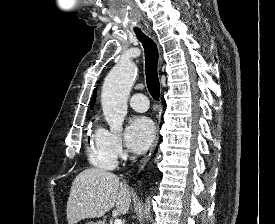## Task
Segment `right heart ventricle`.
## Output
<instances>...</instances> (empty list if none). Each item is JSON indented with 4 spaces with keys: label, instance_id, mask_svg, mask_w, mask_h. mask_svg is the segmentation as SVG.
I'll return each mask as SVG.
<instances>
[{
    "label": "right heart ventricle",
    "instance_id": "obj_1",
    "mask_svg": "<svg viewBox=\"0 0 275 224\" xmlns=\"http://www.w3.org/2000/svg\"><path fill=\"white\" fill-rule=\"evenodd\" d=\"M86 152L89 162L101 169L115 167L116 159L108 151L104 144L101 128H95L88 136Z\"/></svg>",
    "mask_w": 275,
    "mask_h": 224
}]
</instances>
